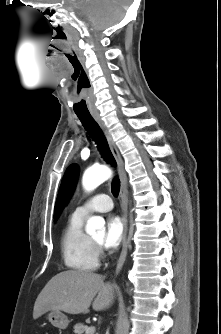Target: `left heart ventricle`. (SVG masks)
Listing matches in <instances>:
<instances>
[{"label":"left heart ventricle","mask_w":221,"mask_h":334,"mask_svg":"<svg viewBox=\"0 0 221 334\" xmlns=\"http://www.w3.org/2000/svg\"><path fill=\"white\" fill-rule=\"evenodd\" d=\"M96 242H101V240H102V237H96L95 239H94Z\"/></svg>","instance_id":"1"}]
</instances>
